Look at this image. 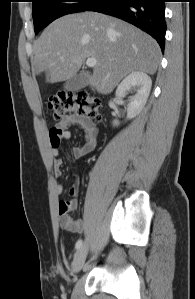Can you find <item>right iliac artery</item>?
I'll return each mask as SVG.
<instances>
[{
	"label": "right iliac artery",
	"mask_w": 195,
	"mask_h": 299,
	"mask_svg": "<svg viewBox=\"0 0 195 299\" xmlns=\"http://www.w3.org/2000/svg\"><path fill=\"white\" fill-rule=\"evenodd\" d=\"M81 246H82V240L80 239L76 242L75 249L78 250Z\"/></svg>",
	"instance_id": "obj_1"
}]
</instances>
